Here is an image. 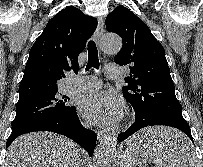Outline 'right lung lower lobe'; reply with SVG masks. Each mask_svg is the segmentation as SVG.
I'll list each match as a JSON object with an SVG mask.
<instances>
[{
    "label": "right lung lower lobe",
    "mask_w": 203,
    "mask_h": 167,
    "mask_svg": "<svg viewBox=\"0 0 203 167\" xmlns=\"http://www.w3.org/2000/svg\"><path fill=\"white\" fill-rule=\"evenodd\" d=\"M34 131H50L65 135L83 147L89 153V156L93 155L97 138L96 133L81 125L76 109L68 114L42 120L12 132L7 140L6 147L18 136Z\"/></svg>",
    "instance_id": "98d812e1"
}]
</instances>
